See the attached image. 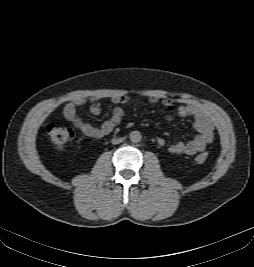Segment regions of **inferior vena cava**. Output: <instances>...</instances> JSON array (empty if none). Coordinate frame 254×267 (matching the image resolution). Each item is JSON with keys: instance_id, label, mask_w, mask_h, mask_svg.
<instances>
[{"instance_id": "1", "label": "inferior vena cava", "mask_w": 254, "mask_h": 267, "mask_svg": "<svg viewBox=\"0 0 254 267\" xmlns=\"http://www.w3.org/2000/svg\"><path fill=\"white\" fill-rule=\"evenodd\" d=\"M122 140H123L122 138H116V139L112 140V143L113 144H118V143L122 142Z\"/></svg>"}]
</instances>
